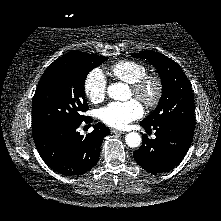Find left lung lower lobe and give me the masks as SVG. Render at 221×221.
Wrapping results in <instances>:
<instances>
[{
  "label": "left lung lower lobe",
  "mask_w": 221,
  "mask_h": 221,
  "mask_svg": "<svg viewBox=\"0 0 221 221\" xmlns=\"http://www.w3.org/2000/svg\"><path fill=\"white\" fill-rule=\"evenodd\" d=\"M146 131L154 129L155 139L143 137L141 147L133 153L135 161L146 171L157 174L177 166L188 152L194 130L173 123H140Z\"/></svg>",
  "instance_id": "left-lung-lower-lobe-1"
}]
</instances>
